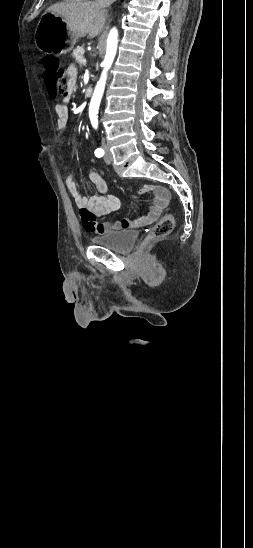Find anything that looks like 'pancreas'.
I'll use <instances>...</instances> for the list:
<instances>
[{"mask_svg":"<svg viewBox=\"0 0 253 548\" xmlns=\"http://www.w3.org/2000/svg\"><path fill=\"white\" fill-rule=\"evenodd\" d=\"M83 55H84V47L83 46H78L76 49L73 50L72 52V56L75 58V60L79 63V64H82L81 63V60L83 59Z\"/></svg>","mask_w":253,"mask_h":548,"instance_id":"obj_1","label":"pancreas"}]
</instances>
